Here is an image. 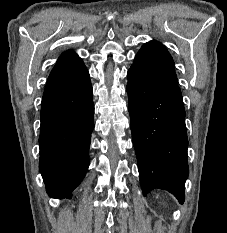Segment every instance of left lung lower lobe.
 Returning <instances> with one entry per match:
<instances>
[{"label":"left lung lower lobe","instance_id":"1","mask_svg":"<svg viewBox=\"0 0 227 233\" xmlns=\"http://www.w3.org/2000/svg\"><path fill=\"white\" fill-rule=\"evenodd\" d=\"M127 77L130 126L143 194L162 189L183 203L189 168L181 90L133 67Z\"/></svg>","mask_w":227,"mask_h":233}]
</instances>
